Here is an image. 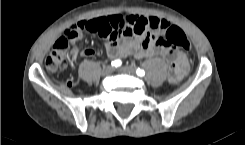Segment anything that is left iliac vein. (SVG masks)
Masks as SVG:
<instances>
[{"label": "left iliac vein", "instance_id": "obj_1", "mask_svg": "<svg viewBox=\"0 0 245 145\" xmlns=\"http://www.w3.org/2000/svg\"><path fill=\"white\" fill-rule=\"evenodd\" d=\"M120 72L126 73V74H134L135 73V68L132 66H124L119 69Z\"/></svg>", "mask_w": 245, "mask_h": 145}]
</instances>
